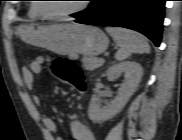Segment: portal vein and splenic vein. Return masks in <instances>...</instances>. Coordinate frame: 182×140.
Here are the masks:
<instances>
[{
  "instance_id": "18ae733b",
  "label": "portal vein and splenic vein",
  "mask_w": 182,
  "mask_h": 140,
  "mask_svg": "<svg viewBox=\"0 0 182 140\" xmlns=\"http://www.w3.org/2000/svg\"><path fill=\"white\" fill-rule=\"evenodd\" d=\"M104 61H105V60H104L103 58H100V62H101V63H104Z\"/></svg>"
}]
</instances>
